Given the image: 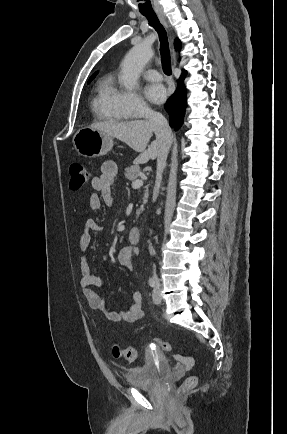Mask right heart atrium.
Instances as JSON below:
<instances>
[{
    "instance_id": "1",
    "label": "right heart atrium",
    "mask_w": 287,
    "mask_h": 434,
    "mask_svg": "<svg viewBox=\"0 0 287 434\" xmlns=\"http://www.w3.org/2000/svg\"><path fill=\"white\" fill-rule=\"evenodd\" d=\"M117 105L127 116H139L151 112L149 105L135 90H121L117 94Z\"/></svg>"
}]
</instances>
